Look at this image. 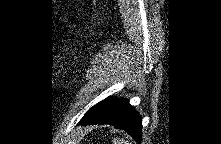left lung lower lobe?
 Instances as JSON below:
<instances>
[{
	"mask_svg": "<svg viewBox=\"0 0 221 144\" xmlns=\"http://www.w3.org/2000/svg\"><path fill=\"white\" fill-rule=\"evenodd\" d=\"M79 124H111L125 130L137 143L141 141V118L125 99L120 100L113 97L104 99L91 108Z\"/></svg>",
	"mask_w": 221,
	"mask_h": 144,
	"instance_id": "obj_1",
	"label": "left lung lower lobe"
}]
</instances>
